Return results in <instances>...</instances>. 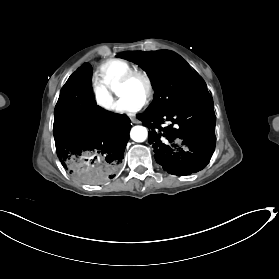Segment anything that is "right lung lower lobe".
<instances>
[{"label":"right lung lower lobe","instance_id":"obj_1","mask_svg":"<svg viewBox=\"0 0 279 279\" xmlns=\"http://www.w3.org/2000/svg\"><path fill=\"white\" fill-rule=\"evenodd\" d=\"M91 73L90 64L84 63L62 87L53 133L62 166L82 182L101 185L119 174L131 125L126 115L96 104Z\"/></svg>","mask_w":279,"mask_h":279}]
</instances>
